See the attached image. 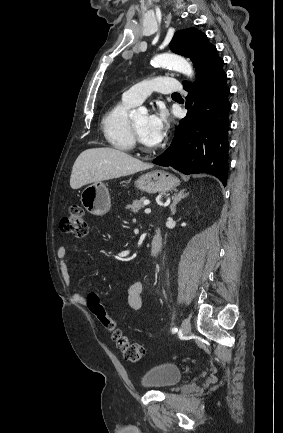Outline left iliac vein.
I'll return each mask as SVG.
<instances>
[{
  "mask_svg": "<svg viewBox=\"0 0 283 433\" xmlns=\"http://www.w3.org/2000/svg\"><path fill=\"white\" fill-rule=\"evenodd\" d=\"M191 329V323L189 319H183L182 321V333L183 334H188L190 332Z\"/></svg>",
  "mask_w": 283,
  "mask_h": 433,
  "instance_id": "left-iliac-vein-1",
  "label": "left iliac vein"
}]
</instances>
